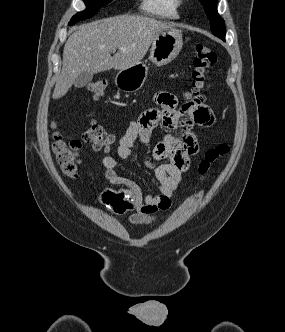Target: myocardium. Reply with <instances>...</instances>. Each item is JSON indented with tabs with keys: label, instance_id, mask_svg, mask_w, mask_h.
<instances>
[{
	"label": "myocardium",
	"instance_id": "obj_1",
	"mask_svg": "<svg viewBox=\"0 0 285 332\" xmlns=\"http://www.w3.org/2000/svg\"><path fill=\"white\" fill-rule=\"evenodd\" d=\"M178 4L181 5L183 0H177Z\"/></svg>",
	"mask_w": 285,
	"mask_h": 332
}]
</instances>
